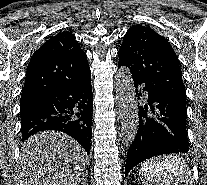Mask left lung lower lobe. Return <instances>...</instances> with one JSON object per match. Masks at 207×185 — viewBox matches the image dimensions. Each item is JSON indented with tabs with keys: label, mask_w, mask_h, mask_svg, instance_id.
I'll return each instance as SVG.
<instances>
[{
	"label": "left lung lower lobe",
	"mask_w": 207,
	"mask_h": 185,
	"mask_svg": "<svg viewBox=\"0 0 207 185\" xmlns=\"http://www.w3.org/2000/svg\"><path fill=\"white\" fill-rule=\"evenodd\" d=\"M134 86L138 99L140 91L148 93L144 106H139V128L127 153L125 176L142 161L162 154L188 153L186 130L187 107L167 96L153 84L135 77Z\"/></svg>",
	"instance_id": "obj_1"
}]
</instances>
